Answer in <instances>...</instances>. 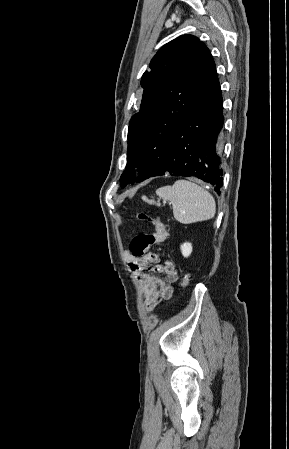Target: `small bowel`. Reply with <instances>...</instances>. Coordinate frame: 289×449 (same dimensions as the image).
Listing matches in <instances>:
<instances>
[{"label": "small bowel", "mask_w": 289, "mask_h": 449, "mask_svg": "<svg viewBox=\"0 0 289 449\" xmlns=\"http://www.w3.org/2000/svg\"><path fill=\"white\" fill-rule=\"evenodd\" d=\"M123 257L141 284L146 310L152 311L173 296L172 284L178 280V271L172 262H160L161 253L136 257L130 250H126ZM156 272L163 273L165 278H160L155 274Z\"/></svg>", "instance_id": "obj_1"}]
</instances>
